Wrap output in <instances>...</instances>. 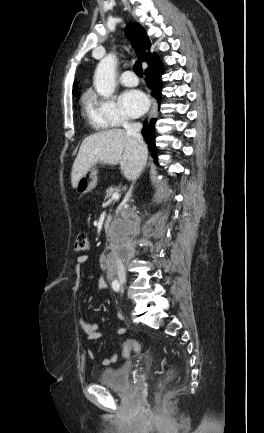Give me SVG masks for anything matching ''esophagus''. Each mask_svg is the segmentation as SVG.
Masks as SVG:
<instances>
[{
	"label": "esophagus",
	"instance_id": "obj_1",
	"mask_svg": "<svg viewBox=\"0 0 264 433\" xmlns=\"http://www.w3.org/2000/svg\"><path fill=\"white\" fill-rule=\"evenodd\" d=\"M151 101H152V107H151V110H150V116H151L154 112H156V110H157V101H156V99L151 98Z\"/></svg>",
	"mask_w": 264,
	"mask_h": 433
}]
</instances>
